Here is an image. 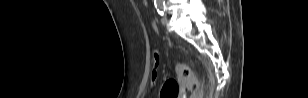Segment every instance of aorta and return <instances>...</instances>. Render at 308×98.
I'll return each mask as SVG.
<instances>
[{
    "instance_id": "aorta-1",
    "label": "aorta",
    "mask_w": 308,
    "mask_h": 98,
    "mask_svg": "<svg viewBox=\"0 0 308 98\" xmlns=\"http://www.w3.org/2000/svg\"><path fill=\"white\" fill-rule=\"evenodd\" d=\"M156 4L161 6L162 4H164V0H155Z\"/></svg>"
}]
</instances>
